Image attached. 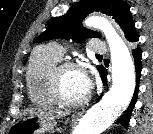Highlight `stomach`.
<instances>
[{"mask_svg": "<svg viewBox=\"0 0 153 134\" xmlns=\"http://www.w3.org/2000/svg\"><path fill=\"white\" fill-rule=\"evenodd\" d=\"M56 121H47L39 115L25 116L9 129V134H46L56 126Z\"/></svg>", "mask_w": 153, "mask_h": 134, "instance_id": "0dacf381", "label": "stomach"}]
</instances>
